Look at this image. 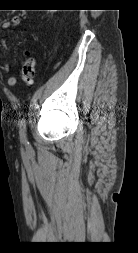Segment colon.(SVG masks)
<instances>
[{"instance_id": "obj_1", "label": "colon", "mask_w": 138, "mask_h": 253, "mask_svg": "<svg viewBox=\"0 0 138 253\" xmlns=\"http://www.w3.org/2000/svg\"><path fill=\"white\" fill-rule=\"evenodd\" d=\"M36 75V60L29 56L22 68V81L25 85L31 86Z\"/></svg>"}]
</instances>
